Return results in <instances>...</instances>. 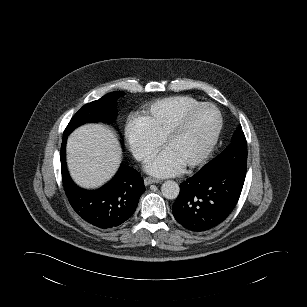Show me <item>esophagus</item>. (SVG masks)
Wrapping results in <instances>:
<instances>
[{"instance_id": "obj_1", "label": "esophagus", "mask_w": 307, "mask_h": 307, "mask_svg": "<svg viewBox=\"0 0 307 307\" xmlns=\"http://www.w3.org/2000/svg\"><path fill=\"white\" fill-rule=\"evenodd\" d=\"M162 181L160 179H155V178H151V177H146L144 179V183L145 185H150L153 183H161Z\"/></svg>"}]
</instances>
